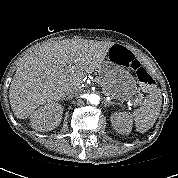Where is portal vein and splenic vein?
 Returning <instances> with one entry per match:
<instances>
[{"label": "portal vein and splenic vein", "instance_id": "1", "mask_svg": "<svg viewBox=\"0 0 178 178\" xmlns=\"http://www.w3.org/2000/svg\"><path fill=\"white\" fill-rule=\"evenodd\" d=\"M130 105H136V103H133V104H131L130 102H128Z\"/></svg>", "mask_w": 178, "mask_h": 178}]
</instances>
